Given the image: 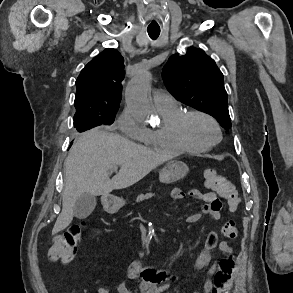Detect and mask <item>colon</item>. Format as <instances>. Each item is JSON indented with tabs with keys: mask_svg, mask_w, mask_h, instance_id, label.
Instances as JSON below:
<instances>
[{
	"mask_svg": "<svg viewBox=\"0 0 293 293\" xmlns=\"http://www.w3.org/2000/svg\"><path fill=\"white\" fill-rule=\"evenodd\" d=\"M204 178L207 187L219 193L227 201L230 211L235 212L239 208L240 197L231 181L213 169H207L204 172ZM85 228L86 223L81 221L56 236L48 251L49 258L60 260L65 264L70 263L75 257L77 245L81 241ZM221 230L223 235L228 238H235L238 235V229L233 220L225 222ZM235 271L234 256L228 253L219 262L211 293H229Z\"/></svg>",
	"mask_w": 293,
	"mask_h": 293,
	"instance_id": "5ec220e1",
	"label": "colon"
}]
</instances>
